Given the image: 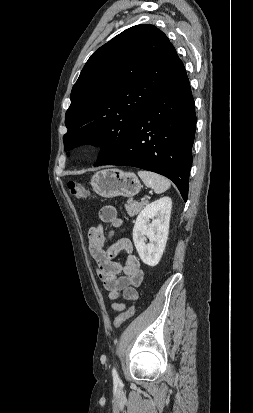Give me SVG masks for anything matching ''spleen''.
Returning a JSON list of instances; mask_svg holds the SVG:
<instances>
[{"label": "spleen", "mask_w": 253, "mask_h": 413, "mask_svg": "<svg viewBox=\"0 0 253 413\" xmlns=\"http://www.w3.org/2000/svg\"><path fill=\"white\" fill-rule=\"evenodd\" d=\"M138 176L142 179L147 187L152 188L157 194L165 192L171 186L167 178L154 172L139 170Z\"/></svg>", "instance_id": "obj_1"}]
</instances>
